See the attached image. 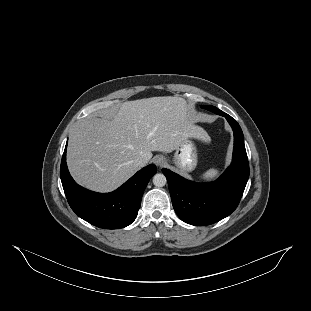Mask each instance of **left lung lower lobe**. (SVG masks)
Here are the masks:
<instances>
[{"instance_id":"obj_1","label":"left lung lower lobe","mask_w":311,"mask_h":311,"mask_svg":"<svg viewBox=\"0 0 311 311\" xmlns=\"http://www.w3.org/2000/svg\"><path fill=\"white\" fill-rule=\"evenodd\" d=\"M219 115L224 116L233 129L234 150L231 165L217 180L200 184L162 169L175 212L191 225H210L230 215L237 208L249 177L241 127L230 115L224 112Z\"/></svg>"}]
</instances>
